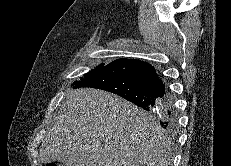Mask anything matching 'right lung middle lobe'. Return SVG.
Segmentation results:
<instances>
[{
    "label": "right lung middle lobe",
    "instance_id": "dd1d6c3e",
    "mask_svg": "<svg viewBox=\"0 0 231 166\" xmlns=\"http://www.w3.org/2000/svg\"><path fill=\"white\" fill-rule=\"evenodd\" d=\"M104 66H105L104 63H102L101 65L97 66L95 69H93V70H91L90 72H88L87 74H85L84 77L80 79V81H82V80L85 79L86 77H88V76H90V75L96 73L97 71L101 70ZM80 81L73 83V85H76V84L79 83Z\"/></svg>",
    "mask_w": 231,
    "mask_h": 166
}]
</instances>
